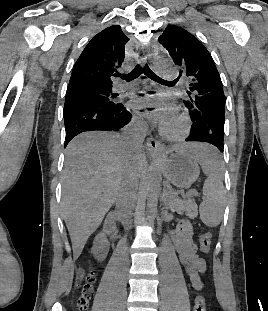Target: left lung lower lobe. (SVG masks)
Instances as JSON below:
<instances>
[{"label": "left lung lower lobe", "mask_w": 268, "mask_h": 311, "mask_svg": "<svg viewBox=\"0 0 268 311\" xmlns=\"http://www.w3.org/2000/svg\"><path fill=\"white\" fill-rule=\"evenodd\" d=\"M224 116L225 105L209 106L203 115L192 121L190 135L186 141L205 140L223 152Z\"/></svg>", "instance_id": "obj_1"}]
</instances>
